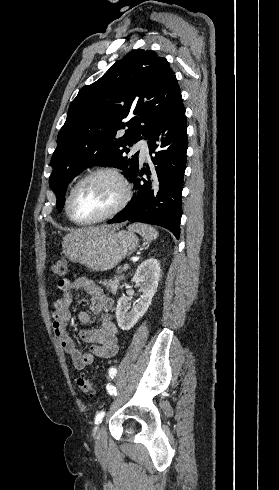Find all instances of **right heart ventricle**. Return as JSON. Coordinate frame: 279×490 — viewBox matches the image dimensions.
Segmentation results:
<instances>
[{
	"mask_svg": "<svg viewBox=\"0 0 279 490\" xmlns=\"http://www.w3.org/2000/svg\"><path fill=\"white\" fill-rule=\"evenodd\" d=\"M71 189H72V186H70V188L67 191V195H66V199H65V206H64L65 215L67 216V218L69 220H72L70 217V214H69V198H70Z\"/></svg>",
	"mask_w": 279,
	"mask_h": 490,
	"instance_id": "1",
	"label": "right heart ventricle"
}]
</instances>
